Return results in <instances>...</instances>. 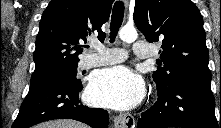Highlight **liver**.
Wrapping results in <instances>:
<instances>
[{
	"label": "liver",
	"instance_id": "obj_1",
	"mask_svg": "<svg viewBox=\"0 0 221 128\" xmlns=\"http://www.w3.org/2000/svg\"><path fill=\"white\" fill-rule=\"evenodd\" d=\"M35 128H88L87 125L74 120H54L38 124Z\"/></svg>",
	"mask_w": 221,
	"mask_h": 128
}]
</instances>
